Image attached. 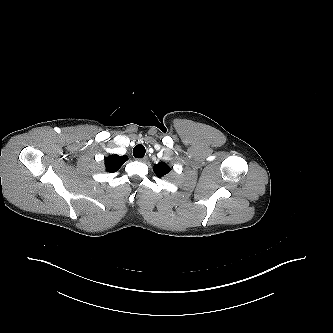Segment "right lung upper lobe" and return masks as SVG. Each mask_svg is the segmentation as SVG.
<instances>
[{"instance_id": "right-lung-upper-lobe-1", "label": "right lung upper lobe", "mask_w": 333, "mask_h": 333, "mask_svg": "<svg viewBox=\"0 0 333 333\" xmlns=\"http://www.w3.org/2000/svg\"><path fill=\"white\" fill-rule=\"evenodd\" d=\"M128 160L127 156L110 155L105 158V169L107 172L113 173L120 169V167Z\"/></svg>"}]
</instances>
